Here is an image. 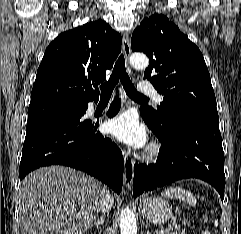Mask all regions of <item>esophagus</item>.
Masks as SVG:
<instances>
[{
    "instance_id": "esophagus-1",
    "label": "esophagus",
    "mask_w": 241,
    "mask_h": 234,
    "mask_svg": "<svg viewBox=\"0 0 241 234\" xmlns=\"http://www.w3.org/2000/svg\"><path fill=\"white\" fill-rule=\"evenodd\" d=\"M123 52L126 60L127 71L132 75V70L128 64V60L131 54V45L129 35L126 33L123 35ZM134 178V162L130 160L127 153H124V184L128 190L132 188Z\"/></svg>"
}]
</instances>
